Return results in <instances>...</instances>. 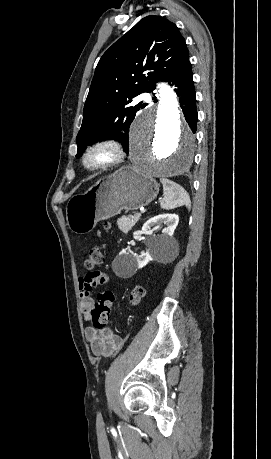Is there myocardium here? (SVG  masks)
I'll return each mask as SVG.
<instances>
[{"mask_svg":"<svg viewBox=\"0 0 271 459\" xmlns=\"http://www.w3.org/2000/svg\"><path fill=\"white\" fill-rule=\"evenodd\" d=\"M101 147L108 148L110 155L98 163H90L89 159L92 153ZM124 154L125 150L122 141L115 135L105 134L94 138L84 147L79 157V163L84 171L94 173L121 163L124 159Z\"/></svg>","mask_w":271,"mask_h":459,"instance_id":"obj_1","label":"myocardium"}]
</instances>
